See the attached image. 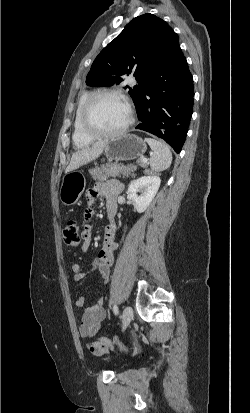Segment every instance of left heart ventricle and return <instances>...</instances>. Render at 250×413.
Returning <instances> with one entry per match:
<instances>
[{"label": "left heart ventricle", "mask_w": 250, "mask_h": 413, "mask_svg": "<svg viewBox=\"0 0 250 413\" xmlns=\"http://www.w3.org/2000/svg\"><path fill=\"white\" fill-rule=\"evenodd\" d=\"M91 124L102 132H112L122 128L129 120L127 105L114 96H102L94 104Z\"/></svg>", "instance_id": "b2bd125f"}]
</instances>
